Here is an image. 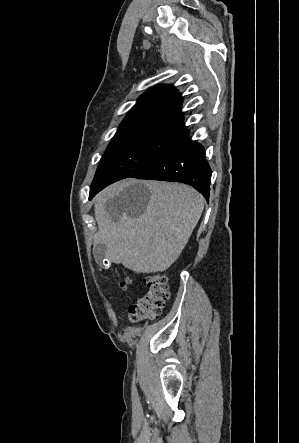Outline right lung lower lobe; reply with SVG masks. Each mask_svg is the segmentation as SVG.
<instances>
[{"instance_id": "1", "label": "right lung lower lobe", "mask_w": 299, "mask_h": 443, "mask_svg": "<svg viewBox=\"0 0 299 443\" xmlns=\"http://www.w3.org/2000/svg\"><path fill=\"white\" fill-rule=\"evenodd\" d=\"M188 134L189 130L185 127L182 135L168 149L130 177L189 184L208 199L211 169L205 160L204 147L189 140ZM99 191L89 198L92 199Z\"/></svg>"}]
</instances>
